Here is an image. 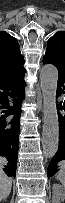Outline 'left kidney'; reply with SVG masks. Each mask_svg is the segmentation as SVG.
Segmentation results:
<instances>
[{
  "label": "left kidney",
  "instance_id": "left-kidney-1",
  "mask_svg": "<svg viewBox=\"0 0 65 203\" xmlns=\"http://www.w3.org/2000/svg\"><path fill=\"white\" fill-rule=\"evenodd\" d=\"M65 201V188L59 184H53V203Z\"/></svg>",
  "mask_w": 65,
  "mask_h": 203
}]
</instances>
